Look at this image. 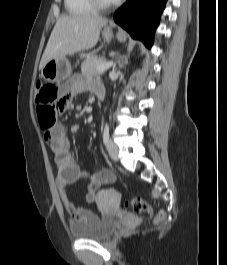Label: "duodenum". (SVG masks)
Instances as JSON below:
<instances>
[{
  "label": "duodenum",
  "mask_w": 227,
  "mask_h": 265,
  "mask_svg": "<svg viewBox=\"0 0 227 265\" xmlns=\"http://www.w3.org/2000/svg\"><path fill=\"white\" fill-rule=\"evenodd\" d=\"M96 95H97V98L99 101H102L104 99V96H105V91L104 89H99L97 92H96Z\"/></svg>",
  "instance_id": "obj_1"
}]
</instances>
